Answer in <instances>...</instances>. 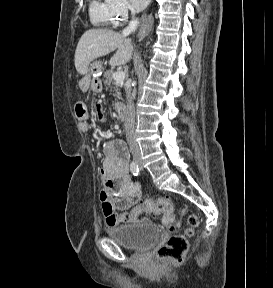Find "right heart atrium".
Returning <instances> with one entry per match:
<instances>
[{
	"label": "right heart atrium",
	"mask_w": 273,
	"mask_h": 288,
	"mask_svg": "<svg viewBox=\"0 0 273 288\" xmlns=\"http://www.w3.org/2000/svg\"><path fill=\"white\" fill-rule=\"evenodd\" d=\"M116 25L128 20L134 9L128 0H106Z\"/></svg>",
	"instance_id": "obj_1"
}]
</instances>
